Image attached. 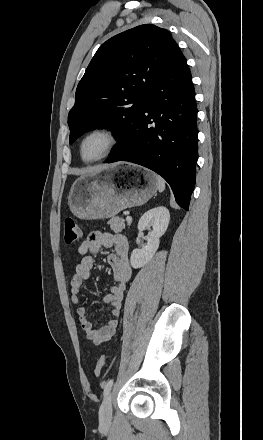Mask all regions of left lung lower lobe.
Masks as SVG:
<instances>
[{"label": "left lung lower lobe", "instance_id": "obj_1", "mask_svg": "<svg viewBox=\"0 0 263 440\" xmlns=\"http://www.w3.org/2000/svg\"><path fill=\"white\" fill-rule=\"evenodd\" d=\"M191 73L177 44L152 84L130 142L105 163L129 161L161 175L185 210L195 186L197 107Z\"/></svg>", "mask_w": 263, "mask_h": 440}]
</instances>
